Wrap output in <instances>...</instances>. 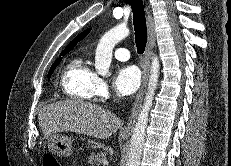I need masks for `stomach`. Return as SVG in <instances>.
Here are the masks:
<instances>
[{
	"label": "stomach",
	"mask_w": 231,
	"mask_h": 166,
	"mask_svg": "<svg viewBox=\"0 0 231 166\" xmlns=\"http://www.w3.org/2000/svg\"><path fill=\"white\" fill-rule=\"evenodd\" d=\"M48 148L54 155L68 157L72 154V140L70 137L55 134L50 136Z\"/></svg>",
	"instance_id": "0dacf381"
}]
</instances>
